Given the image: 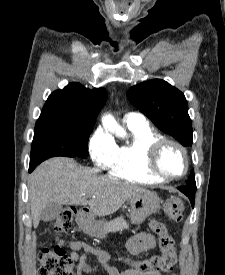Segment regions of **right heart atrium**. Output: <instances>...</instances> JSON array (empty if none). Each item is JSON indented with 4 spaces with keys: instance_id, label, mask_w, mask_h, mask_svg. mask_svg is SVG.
<instances>
[{
    "instance_id": "d8ad5b80",
    "label": "right heart atrium",
    "mask_w": 225,
    "mask_h": 275,
    "mask_svg": "<svg viewBox=\"0 0 225 275\" xmlns=\"http://www.w3.org/2000/svg\"><path fill=\"white\" fill-rule=\"evenodd\" d=\"M114 140L103 130L97 129L89 140V154L96 167L107 168L115 152Z\"/></svg>"
}]
</instances>
